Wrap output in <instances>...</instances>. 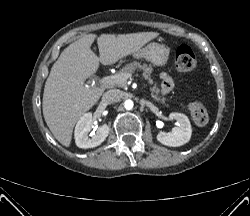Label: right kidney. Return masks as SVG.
Segmentation results:
<instances>
[{"label":"right kidney","mask_w":250,"mask_h":216,"mask_svg":"<svg viewBox=\"0 0 250 216\" xmlns=\"http://www.w3.org/2000/svg\"><path fill=\"white\" fill-rule=\"evenodd\" d=\"M91 123L92 113L89 112L84 114L76 124L74 136L75 143L79 148L87 149L97 147L105 141L109 134V126L107 124H103L96 129V132L93 133L90 138L88 134L92 129Z\"/></svg>","instance_id":"obj_1"}]
</instances>
